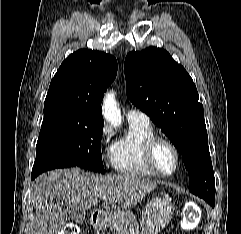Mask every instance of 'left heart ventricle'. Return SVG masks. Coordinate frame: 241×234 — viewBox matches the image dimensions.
<instances>
[{
	"label": "left heart ventricle",
	"instance_id": "1",
	"mask_svg": "<svg viewBox=\"0 0 241 234\" xmlns=\"http://www.w3.org/2000/svg\"><path fill=\"white\" fill-rule=\"evenodd\" d=\"M156 163L164 172H170L175 166V155L166 144H160L155 153Z\"/></svg>",
	"mask_w": 241,
	"mask_h": 234
}]
</instances>
